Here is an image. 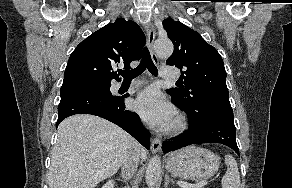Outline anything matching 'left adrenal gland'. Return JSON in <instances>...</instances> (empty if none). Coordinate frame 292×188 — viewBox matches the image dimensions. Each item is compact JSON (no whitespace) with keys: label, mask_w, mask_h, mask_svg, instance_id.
I'll list each match as a JSON object with an SVG mask.
<instances>
[{"label":"left adrenal gland","mask_w":292,"mask_h":188,"mask_svg":"<svg viewBox=\"0 0 292 188\" xmlns=\"http://www.w3.org/2000/svg\"><path fill=\"white\" fill-rule=\"evenodd\" d=\"M169 182H173V180L169 177L168 173H166V175H165V184H164L165 188H167Z\"/></svg>","instance_id":"left-adrenal-gland-1"}]
</instances>
